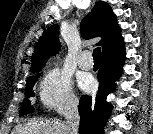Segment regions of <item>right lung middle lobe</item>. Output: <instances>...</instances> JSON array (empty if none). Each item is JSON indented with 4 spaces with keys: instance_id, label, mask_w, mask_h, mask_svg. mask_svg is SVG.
Here are the masks:
<instances>
[{
    "instance_id": "1",
    "label": "right lung middle lobe",
    "mask_w": 153,
    "mask_h": 134,
    "mask_svg": "<svg viewBox=\"0 0 153 134\" xmlns=\"http://www.w3.org/2000/svg\"><path fill=\"white\" fill-rule=\"evenodd\" d=\"M37 76L38 75L30 76L27 80L26 92H25L27 99H25L23 101V104H22V107L20 110V116L29 114L33 111V108L30 106V102H29L28 98L34 96L33 87H34L35 82L37 80Z\"/></svg>"
}]
</instances>
